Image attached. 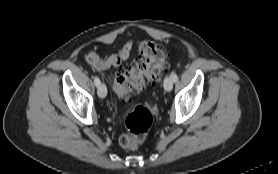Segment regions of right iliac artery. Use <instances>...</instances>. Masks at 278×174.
I'll return each instance as SVG.
<instances>
[{
	"label": "right iliac artery",
	"mask_w": 278,
	"mask_h": 174,
	"mask_svg": "<svg viewBox=\"0 0 278 174\" xmlns=\"http://www.w3.org/2000/svg\"><path fill=\"white\" fill-rule=\"evenodd\" d=\"M94 83L97 87L100 85V79L97 76L94 78Z\"/></svg>",
	"instance_id": "1"
}]
</instances>
